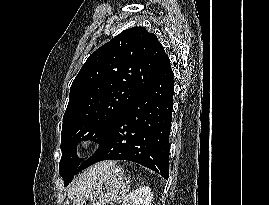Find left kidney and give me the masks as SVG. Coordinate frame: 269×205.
Here are the masks:
<instances>
[{
	"label": "left kidney",
	"mask_w": 269,
	"mask_h": 205,
	"mask_svg": "<svg viewBox=\"0 0 269 205\" xmlns=\"http://www.w3.org/2000/svg\"><path fill=\"white\" fill-rule=\"evenodd\" d=\"M151 198V189L143 186L127 195L122 205H152Z\"/></svg>",
	"instance_id": "1"
}]
</instances>
